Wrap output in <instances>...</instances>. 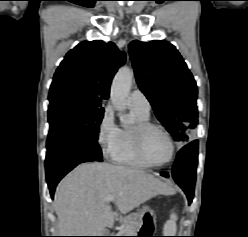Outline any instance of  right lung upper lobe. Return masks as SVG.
Masks as SVG:
<instances>
[{
  "label": "right lung upper lobe",
  "mask_w": 248,
  "mask_h": 237,
  "mask_svg": "<svg viewBox=\"0 0 248 237\" xmlns=\"http://www.w3.org/2000/svg\"><path fill=\"white\" fill-rule=\"evenodd\" d=\"M125 57L112 42L79 43L56 70L49 101L74 99L101 106L102 100L109 97L112 78Z\"/></svg>",
  "instance_id": "right-lung-upper-lobe-1"
}]
</instances>
